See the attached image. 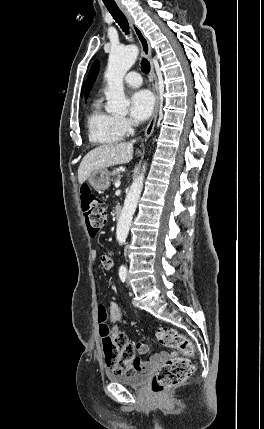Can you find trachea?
<instances>
[{"label":"trachea","instance_id":"trachea-1","mask_svg":"<svg viewBox=\"0 0 264 429\" xmlns=\"http://www.w3.org/2000/svg\"><path fill=\"white\" fill-rule=\"evenodd\" d=\"M108 11L111 13L115 21L119 24L122 30L128 35L129 25L125 15L121 12L116 4H105ZM141 69L145 74L150 71V63L147 59L143 58L141 61Z\"/></svg>","mask_w":264,"mask_h":429}]
</instances>
